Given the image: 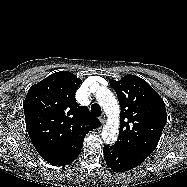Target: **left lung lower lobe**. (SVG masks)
<instances>
[{
  "label": "left lung lower lobe",
  "mask_w": 187,
  "mask_h": 187,
  "mask_svg": "<svg viewBox=\"0 0 187 187\" xmlns=\"http://www.w3.org/2000/svg\"><path fill=\"white\" fill-rule=\"evenodd\" d=\"M103 153L107 165L115 172H126L142 163V161L124 154L114 146L104 145Z\"/></svg>",
  "instance_id": "left-lung-lower-lobe-1"
}]
</instances>
